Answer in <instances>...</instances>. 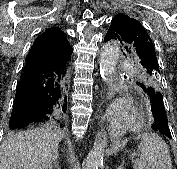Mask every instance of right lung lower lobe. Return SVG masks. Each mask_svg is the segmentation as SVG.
<instances>
[{"mask_svg": "<svg viewBox=\"0 0 177 169\" xmlns=\"http://www.w3.org/2000/svg\"><path fill=\"white\" fill-rule=\"evenodd\" d=\"M69 64L28 56L16 87L11 129L49 122L64 127L67 120Z\"/></svg>", "mask_w": 177, "mask_h": 169, "instance_id": "right-lung-lower-lobe-1", "label": "right lung lower lobe"}]
</instances>
